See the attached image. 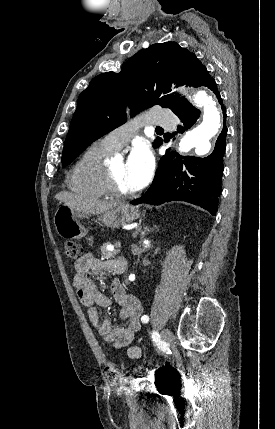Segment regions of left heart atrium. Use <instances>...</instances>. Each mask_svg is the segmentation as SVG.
Returning <instances> with one entry per match:
<instances>
[{"label": "left heart atrium", "mask_w": 275, "mask_h": 429, "mask_svg": "<svg viewBox=\"0 0 275 429\" xmlns=\"http://www.w3.org/2000/svg\"><path fill=\"white\" fill-rule=\"evenodd\" d=\"M126 178L133 191L141 189L153 170V155L145 142L136 143L125 162Z\"/></svg>", "instance_id": "left-heart-atrium-1"}]
</instances>
